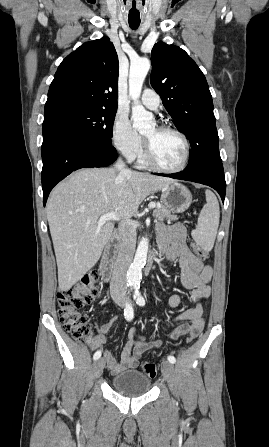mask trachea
<instances>
[{
  "label": "trachea",
  "instance_id": "trachea-1",
  "mask_svg": "<svg viewBox=\"0 0 269 447\" xmlns=\"http://www.w3.org/2000/svg\"><path fill=\"white\" fill-rule=\"evenodd\" d=\"M140 22H129V26L135 30L136 28L139 27Z\"/></svg>",
  "mask_w": 269,
  "mask_h": 447
}]
</instances>
